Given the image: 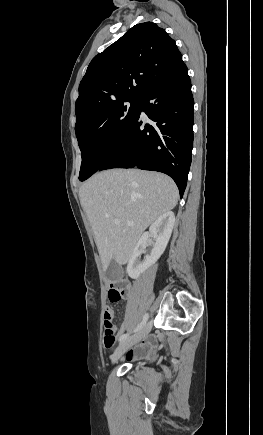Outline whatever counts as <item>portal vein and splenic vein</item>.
<instances>
[{
	"label": "portal vein and splenic vein",
	"instance_id": "portal-vein-and-splenic-vein-1",
	"mask_svg": "<svg viewBox=\"0 0 263 435\" xmlns=\"http://www.w3.org/2000/svg\"><path fill=\"white\" fill-rule=\"evenodd\" d=\"M114 223H115V224H119V223H120V220H119V219H115V220H114ZM127 225H128V226H133L134 224H133L132 222H127Z\"/></svg>",
	"mask_w": 263,
	"mask_h": 435
}]
</instances>
